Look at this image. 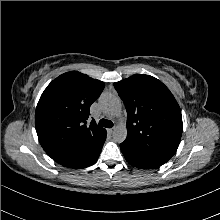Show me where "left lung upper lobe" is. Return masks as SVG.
Returning a JSON list of instances; mask_svg holds the SVG:
<instances>
[{
    "label": "left lung upper lobe",
    "instance_id": "left-lung-upper-lobe-1",
    "mask_svg": "<svg viewBox=\"0 0 220 220\" xmlns=\"http://www.w3.org/2000/svg\"><path fill=\"white\" fill-rule=\"evenodd\" d=\"M127 110L123 144L167 162L183 130L181 110L169 89L150 75L135 74L114 83Z\"/></svg>",
    "mask_w": 220,
    "mask_h": 220
}]
</instances>
